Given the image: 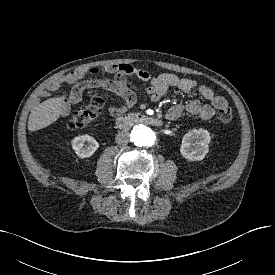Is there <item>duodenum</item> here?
<instances>
[{
  "instance_id": "duodenum-1",
  "label": "duodenum",
  "mask_w": 275,
  "mask_h": 275,
  "mask_svg": "<svg viewBox=\"0 0 275 275\" xmlns=\"http://www.w3.org/2000/svg\"><path fill=\"white\" fill-rule=\"evenodd\" d=\"M145 123L152 126H161L162 120L156 116H148L140 113L123 114L117 117L116 126L121 130H126L135 123Z\"/></svg>"
}]
</instances>
